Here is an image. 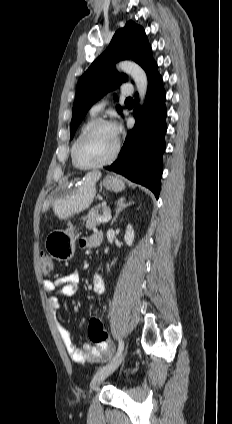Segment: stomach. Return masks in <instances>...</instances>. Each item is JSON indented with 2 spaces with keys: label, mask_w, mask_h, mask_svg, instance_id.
Returning <instances> with one entry per match:
<instances>
[{
  "label": "stomach",
  "mask_w": 232,
  "mask_h": 424,
  "mask_svg": "<svg viewBox=\"0 0 232 424\" xmlns=\"http://www.w3.org/2000/svg\"><path fill=\"white\" fill-rule=\"evenodd\" d=\"M102 184L107 190L114 192H121L125 189L124 182L114 176L105 177ZM62 192L64 189L58 191V193ZM77 237L78 235L72 227L67 230L52 231L46 237L45 248L51 257L58 261L70 260L74 255Z\"/></svg>",
  "instance_id": "1"
}]
</instances>
